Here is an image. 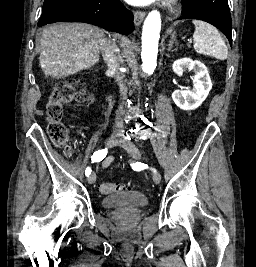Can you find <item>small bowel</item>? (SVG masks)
I'll return each instance as SVG.
<instances>
[{"label":"small bowel","instance_id":"1","mask_svg":"<svg viewBox=\"0 0 256 267\" xmlns=\"http://www.w3.org/2000/svg\"><path fill=\"white\" fill-rule=\"evenodd\" d=\"M113 162V157L108 156L105 159L102 160L100 169H106L111 163Z\"/></svg>","mask_w":256,"mask_h":267}]
</instances>
